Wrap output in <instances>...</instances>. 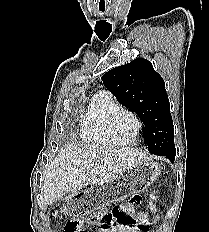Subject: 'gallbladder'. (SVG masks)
<instances>
[{"mask_svg":"<svg viewBox=\"0 0 209 232\" xmlns=\"http://www.w3.org/2000/svg\"><path fill=\"white\" fill-rule=\"evenodd\" d=\"M67 196H70V194H66V195H64V196L62 197V199L67 198Z\"/></svg>","mask_w":209,"mask_h":232,"instance_id":"gallbladder-1","label":"gallbladder"}]
</instances>
